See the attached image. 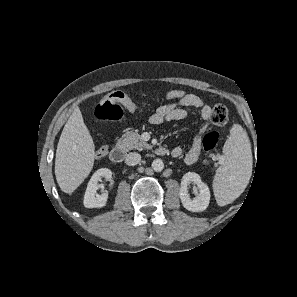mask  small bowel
Here are the masks:
<instances>
[{
    "instance_id": "1",
    "label": "small bowel",
    "mask_w": 297,
    "mask_h": 297,
    "mask_svg": "<svg viewBox=\"0 0 297 297\" xmlns=\"http://www.w3.org/2000/svg\"><path fill=\"white\" fill-rule=\"evenodd\" d=\"M126 109L133 114H139L143 111L142 108L137 107L134 103L127 105ZM189 110L197 111L199 113L202 120V126L199 135L193 140L190 149L185 154L184 162L187 165L194 164L199 158L203 145V135L208 129L211 107L198 95L186 94L179 100L159 106L149 118L151 124L159 125L166 121L182 120L188 116ZM171 155L173 157H180L182 155V149L180 147L173 148L171 150Z\"/></svg>"
}]
</instances>
